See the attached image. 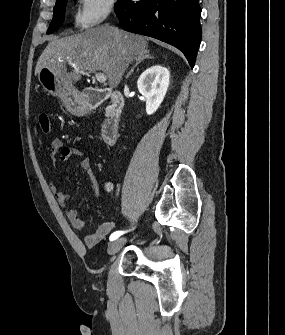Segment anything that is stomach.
Wrapping results in <instances>:
<instances>
[{"label": "stomach", "instance_id": "obj_1", "mask_svg": "<svg viewBox=\"0 0 285 335\" xmlns=\"http://www.w3.org/2000/svg\"><path fill=\"white\" fill-rule=\"evenodd\" d=\"M38 80L45 92L55 96V98H61L62 102H65L71 110L82 112L85 108V98H83L81 92L70 86L60 74H57L56 70L44 66L38 72Z\"/></svg>", "mask_w": 285, "mask_h": 335}]
</instances>
